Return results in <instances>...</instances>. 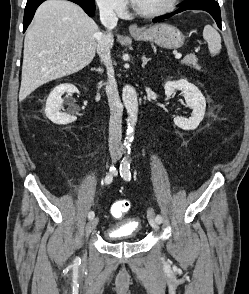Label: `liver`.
I'll use <instances>...</instances> for the list:
<instances>
[{
    "mask_svg": "<svg viewBox=\"0 0 249 294\" xmlns=\"http://www.w3.org/2000/svg\"><path fill=\"white\" fill-rule=\"evenodd\" d=\"M101 34L78 5L65 0L42 3L25 35L19 99L89 65Z\"/></svg>",
    "mask_w": 249,
    "mask_h": 294,
    "instance_id": "obj_1",
    "label": "liver"
}]
</instances>
